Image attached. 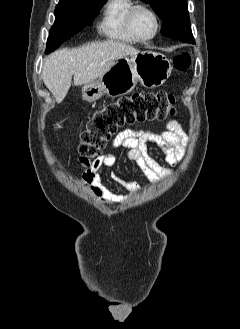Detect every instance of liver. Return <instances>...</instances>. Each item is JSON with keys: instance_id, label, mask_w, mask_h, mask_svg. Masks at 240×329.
Returning <instances> with one entry per match:
<instances>
[{"instance_id": "obj_1", "label": "liver", "mask_w": 240, "mask_h": 329, "mask_svg": "<svg viewBox=\"0 0 240 329\" xmlns=\"http://www.w3.org/2000/svg\"><path fill=\"white\" fill-rule=\"evenodd\" d=\"M139 50L122 42L108 40L75 49H61L44 61L42 78L46 87L61 103L72 83L84 85L104 75L117 60L136 55Z\"/></svg>"}]
</instances>
